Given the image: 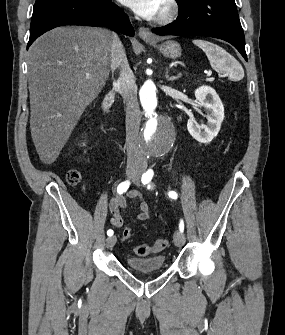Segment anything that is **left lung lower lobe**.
<instances>
[{"label": "left lung lower lobe", "instance_id": "left-lung-lower-lobe-1", "mask_svg": "<svg viewBox=\"0 0 285 335\" xmlns=\"http://www.w3.org/2000/svg\"><path fill=\"white\" fill-rule=\"evenodd\" d=\"M171 24L154 28L158 35H201L231 43L247 61L245 38L235 0H185Z\"/></svg>", "mask_w": 285, "mask_h": 335}]
</instances>
